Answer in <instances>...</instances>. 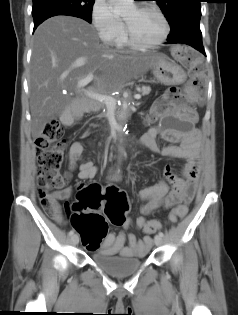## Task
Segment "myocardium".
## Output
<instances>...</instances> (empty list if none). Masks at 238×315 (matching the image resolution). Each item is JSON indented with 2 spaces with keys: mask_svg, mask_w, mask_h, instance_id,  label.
Instances as JSON below:
<instances>
[{
  "mask_svg": "<svg viewBox=\"0 0 238 315\" xmlns=\"http://www.w3.org/2000/svg\"><path fill=\"white\" fill-rule=\"evenodd\" d=\"M135 7L137 10H148V11L154 12L161 19L163 23L164 31H163L162 36L157 41L152 42V43H143V42L138 41L133 36L129 24L124 20V33H125L127 43L131 47L136 48V49H141V50L153 49L163 44L167 40L170 34V24L165 14L158 7L154 5L143 4V5H138Z\"/></svg>",
  "mask_w": 238,
  "mask_h": 315,
  "instance_id": "myocardium-1",
  "label": "myocardium"
}]
</instances>
